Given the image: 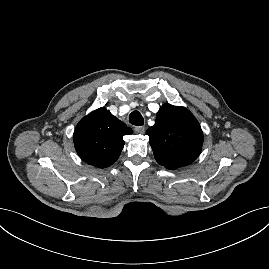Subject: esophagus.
I'll list each match as a JSON object with an SVG mask.
<instances>
[{"label": "esophagus", "instance_id": "34e87169", "mask_svg": "<svg viewBox=\"0 0 269 269\" xmlns=\"http://www.w3.org/2000/svg\"><path fill=\"white\" fill-rule=\"evenodd\" d=\"M136 133L143 134L145 132V128L143 126H136L134 128Z\"/></svg>", "mask_w": 269, "mask_h": 269}]
</instances>
